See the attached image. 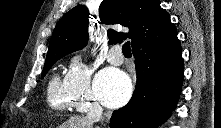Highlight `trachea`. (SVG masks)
<instances>
[{"label":"trachea","mask_w":221,"mask_h":128,"mask_svg":"<svg viewBox=\"0 0 221 128\" xmlns=\"http://www.w3.org/2000/svg\"><path fill=\"white\" fill-rule=\"evenodd\" d=\"M122 52H123L124 56H127V57L132 55L129 41H127L123 44Z\"/></svg>","instance_id":"obj_1"}]
</instances>
